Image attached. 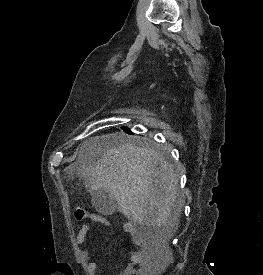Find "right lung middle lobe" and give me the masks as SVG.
Listing matches in <instances>:
<instances>
[{
  "instance_id": "1",
  "label": "right lung middle lobe",
  "mask_w": 263,
  "mask_h": 275,
  "mask_svg": "<svg viewBox=\"0 0 263 275\" xmlns=\"http://www.w3.org/2000/svg\"><path fill=\"white\" fill-rule=\"evenodd\" d=\"M122 129L128 134H133L127 127H122Z\"/></svg>"
}]
</instances>
